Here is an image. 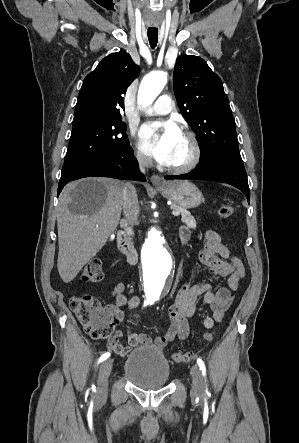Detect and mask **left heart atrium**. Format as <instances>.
Listing matches in <instances>:
<instances>
[{
    "mask_svg": "<svg viewBox=\"0 0 299 443\" xmlns=\"http://www.w3.org/2000/svg\"><path fill=\"white\" fill-rule=\"evenodd\" d=\"M181 136L173 121L145 124L139 132L140 146L158 162L167 164Z\"/></svg>",
    "mask_w": 299,
    "mask_h": 443,
    "instance_id": "1",
    "label": "left heart atrium"
}]
</instances>
